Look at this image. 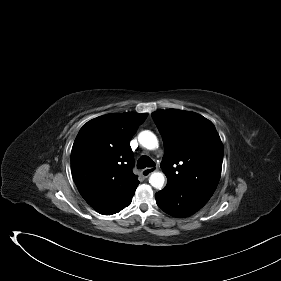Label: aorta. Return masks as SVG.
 Instances as JSON below:
<instances>
[{
	"label": "aorta",
	"instance_id": "1",
	"mask_svg": "<svg viewBox=\"0 0 281 281\" xmlns=\"http://www.w3.org/2000/svg\"><path fill=\"white\" fill-rule=\"evenodd\" d=\"M139 143L149 150L158 148V139L151 131H142L138 135ZM165 182V175L161 172H153L149 177V183L156 189H161Z\"/></svg>",
	"mask_w": 281,
	"mask_h": 281
}]
</instances>
